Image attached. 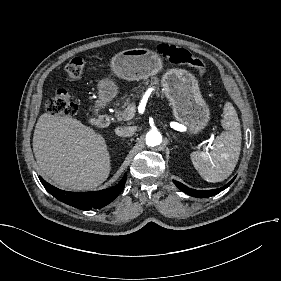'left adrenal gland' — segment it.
<instances>
[{"mask_svg":"<svg viewBox=\"0 0 281 281\" xmlns=\"http://www.w3.org/2000/svg\"><path fill=\"white\" fill-rule=\"evenodd\" d=\"M170 134L173 136L175 140H178L177 136L171 131Z\"/></svg>","mask_w":281,"mask_h":281,"instance_id":"obj_1","label":"left adrenal gland"}]
</instances>
